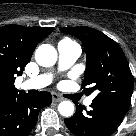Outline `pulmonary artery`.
I'll list each match as a JSON object with an SVG mask.
<instances>
[{
    "label": "pulmonary artery",
    "instance_id": "pulmonary-artery-1",
    "mask_svg": "<svg viewBox=\"0 0 136 136\" xmlns=\"http://www.w3.org/2000/svg\"><path fill=\"white\" fill-rule=\"evenodd\" d=\"M59 54V67L61 69H67L78 59L81 54L80 46L71 40H62L58 43ZM52 81V76L44 74L35 78L26 80L22 83L21 87L24 90L29 89H41L49 85ZM93 97H89L85 100L86 105H91Z\"/></svg>",
    "mask_w": 136,
    "mask_h": 136
}]
</instances>
